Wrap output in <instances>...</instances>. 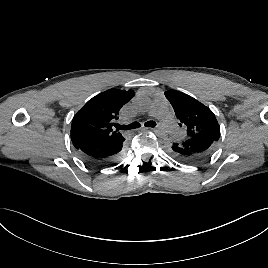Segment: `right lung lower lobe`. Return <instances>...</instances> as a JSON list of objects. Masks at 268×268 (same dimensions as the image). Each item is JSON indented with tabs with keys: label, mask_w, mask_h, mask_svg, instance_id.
<instances>
[{
	"label": "right lung lower lobe",
	"mask_w": 268,
	"mask_h": 268,
	"mask_svg": "<svg viewBox=\"0 0 268 268\" xmlns=\"http://www.w3.org/2000/svg\"><path fill=\"white\" fill-rule=\"evenodd\" d=\"M122 137L114 142L85 144L77 147L79 154L87 162L96 165H109L115 163L122 153L123 142Z\"/></svg>",
	"instance_id": "98d812e1"
}]
</instances>
